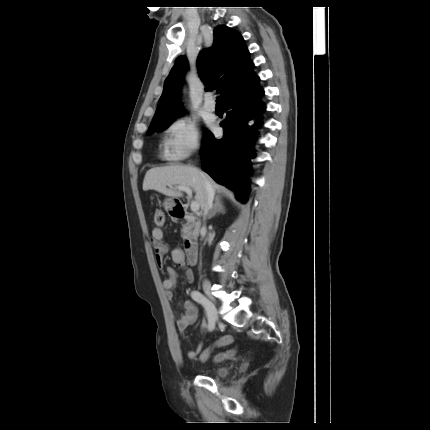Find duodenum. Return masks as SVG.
<instances>
[{
  "instance_id": "duodenum-1",
  "label": "duodenum",
  "mask_w": 430,
  "mask_h": 430,
  "mask_svg": "<svg viewBox=\"0 0 430 430\" xmlns=\"http://www.w3.org/2000/svg\"><path fill=\"white\" fill-rule=\"evenodd\" d=\"M173 215L177 219H184L187 216V210L182 204H177L174 207ZM184 253L188 264L194 265L197 262L198 257V246L197 243L192 239H187L185 241Z\"/></svg>"
}]
</instances>
